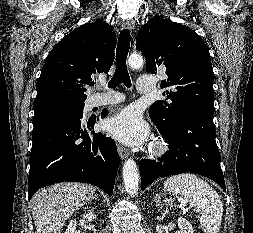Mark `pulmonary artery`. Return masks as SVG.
<instances>
[{
    "instance_id": "pulmonary-artery-1",
    "label": "pulmonary artery",
    "mask_w": 253,
    "mask_h": 233,
    "mask_svg": "<svg viewBox=\"0 0 253 233\" xmlns=\"http://www.w3.org/2000/svg\"><path fill=\"white\" fill-rule=\"evenodd\" d=\"M155 87V80L151 77L141 76L137 80V89L142 94L151 93ZM124 100L123 95L109 92L104 95H99L93 99L92 105L105 106L120 103Z\"/></svg>"
}]
</instances>
